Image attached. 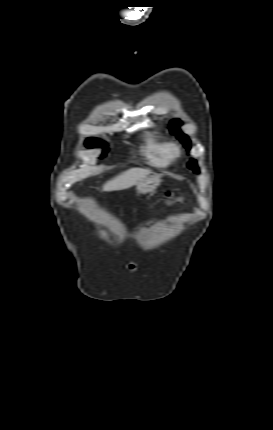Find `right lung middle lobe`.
I'll return each mask as SVG.
<instances>
[{"label": "right lung middle lobe", "instance_id": "right-lung-middle-lobe-1", "mask_svg": "<svg viewBox=\"0 0 273 430\" xmlns=\"http://www.w3.org/2000/svg\"><path fill=\"white\" fill-rule=\"evenodd\" d=\"M86 146L89 148H93V147H107V144L98 140V139H94V138H90L86 140ZM107 150L104 149L102 155L105 156L106 155Z\"/></svg>", "mask_w": 273, "mask_h": 430}]
</instances>
